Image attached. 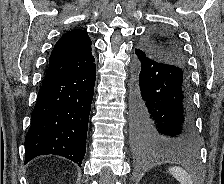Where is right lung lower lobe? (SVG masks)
<instances>
[{
  "label": "right lung lower lobe",
  "instance_id": "98d812e1",
  "mask_svg": "<svg viewBox=\"0 0 224 184\" xmlns=\"http://www.w3.org/2000/svg\"><path fill=\"white\" fill-rule=\"evenodd\" d=\"M96 65L45 76L25 137V164L39 155H60L81 166L94 94Z\"/></svg>",
  "mask_w": 224,
  "mask_h": 184
}]
</instances>
